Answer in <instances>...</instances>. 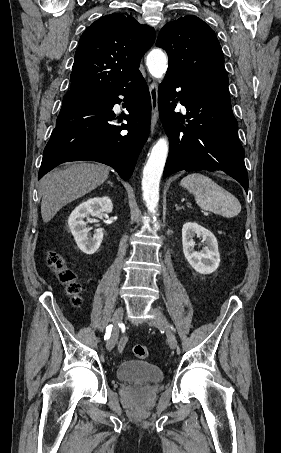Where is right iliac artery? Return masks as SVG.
I'll return each mask as SVG.
<instances>
[{
    "instance_id": "obj_1",
    "label": "right iliac artery",
    "mask_w": 281,
    "mask_h": 453,
    "mask_svg": "<svg viewBox=\"0 0 281 453\" xmlns=\"http://www.w3.org/2000/svg\"><path fill=\"white\" fill-rule=\"evenodd\" d=\"M112 327H113L112 324H111V325H108V326L106 327V333H105V336H104V340H108V339L110 338V336H111V331H112Z\"/></svg>"
}]
</instances>
